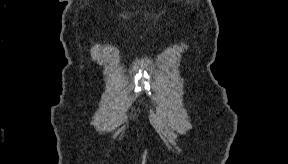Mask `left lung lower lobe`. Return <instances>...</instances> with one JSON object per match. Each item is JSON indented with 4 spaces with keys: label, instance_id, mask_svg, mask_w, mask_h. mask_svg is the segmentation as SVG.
I'll use <instances>...</instances> for the list:
<instances>
[{
    "label": "left lung lower lobe",
    "instance_id": "0a47b994",
    "mask_svg": "<svg viewBox=\"0 0 288 164\" xmlns=\"http://www.w3.org/2000/svg\"><path fill=\"white\" fill-rule=\"evenodd\" d=\"M250 78L252 80L256 81V80H258L260 78V75H259V73L257 71H252V72H250Z\"/></svg>",
    "mask_w": 288,
    "mask_h": 164
}]
</instances>
